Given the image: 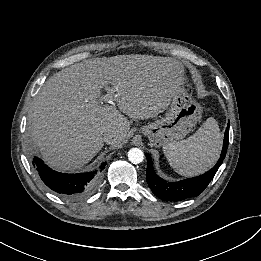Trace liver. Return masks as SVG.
I'll return each mask as SVG.
<instances>
[{
	"instance_id": "1",
	"label": "liver",
	"mask_w": 261,
	"mask_h": 261,
	"mask_svg": "<svg viewBox=\"0 0 261 261\" xmlns=\"http://www.w3.org/2000/svg\"><path fill=\"white\" fill-rule=\"evenodd\" d=\"M184 70L171 57L117 55L88 59L51 76L34 98L28 131L43 159L58 170L83 167L108 144L126 142L132 119L156 117L184 84ZM116 88L114 106L100 105L102 88Z\"/></svg>"
}]
</instances>
